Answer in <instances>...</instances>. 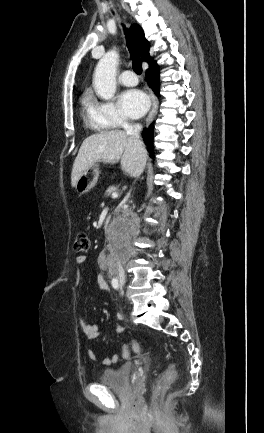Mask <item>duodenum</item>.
Here are the masks:
<instances>
[{"label": "duodenum", "instance_id": "obj_1", "mask_svg": "<svg viewBox=\"0 0 264 433\" xmlns=\"http://www.w3.org/2000/svg\"><path fill=\"white\" fill-rule=\"evenodd\" d=\"M104 229H105L106 234L110 233V223L108 220H106V222L104 224ZM109 256H110V261H109L108 275H111L116 270V263H115L116 256H117L116 251L111 250Z\"/></svg>", "mask_w": 264, "mask_h": 433}]
</instances>
